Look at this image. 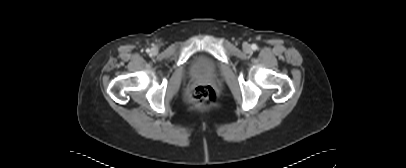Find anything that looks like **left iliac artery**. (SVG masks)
Masks as SVG:
<instances>
[{"label": "left iliac artery", "instance_id": "1", "mask_svg": "<svg viewBox=\"0 0 406 168\" xmlns=\"http://www.w3.org/2000/svg\"><path fill=\"white\" fill-rule=\"evenodd\" d=\"M252 49L253 50H256L257 49V46L254 44V45H252Z\"/></svg>", "mask_w": 406, "mask_h": 168}]
</instances>
